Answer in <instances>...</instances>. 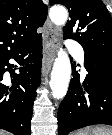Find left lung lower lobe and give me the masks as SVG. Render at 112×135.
<instances>
[{
  "instance_id": "left-lung-lower-lobe-1",
  "label": "left lung lower lobe",
  "mask_w": 112,
  "mask_h": 135,
  "mask_svg": "<svg viewBox=\"0 0 112 135\" xmlns=\"http://www.w3.org/2000/svg\"><path fill=\"white\" fill-rule=\"evenodd\" d=\"M85 68L83 82L74 71L59 107V135L94 124L112 125V56L85 52Z\"/></svg>"
}]
</instances>
